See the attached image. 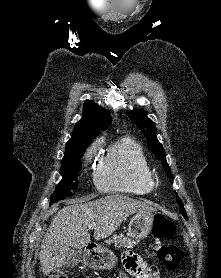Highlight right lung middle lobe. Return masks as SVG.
<instances>
[{"label": "right lung middle lobe", "instance_id": "dd1d6c3e", "mask_svg": "<svg viewBox=\"0 0 221 278\" xmlns=\"http://www.w3.org/2000/svg\"><path fill=\"white\" fill-rule=\"evenodd\" d=\"M87 147L88 144H85L65 152L61 164L62 180L51 196L50 204L66 198L76 188L79 171L81 170L80 159L83 157Z\"/></svg>", "mask_w": 221, "mask_h": 278}]
</instances>
